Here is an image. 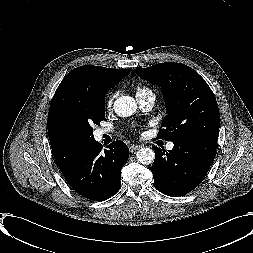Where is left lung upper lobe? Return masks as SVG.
<instances>
[{
	"instance_id": "5c2ea615",
	"label": "left lung upper lobe",
	"mask_w": 253,
	"mask_h": 253,
	"mask_svg": "<svg viewBox=\"0 0 253 253\" xmlns=\"http://www.w3.org/2000/svg\"><path fill=\"white\" fill-rule=\"evenodd\" d=\"M134 71L162 88L167 115L158 138L172 142L206 139L217 141L220 114L205 80L181 63H159Z\"/></svg>"
}]
</instances>
